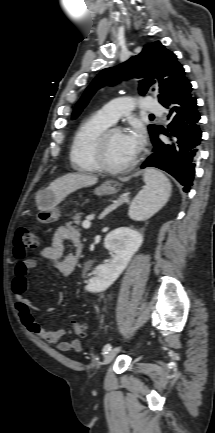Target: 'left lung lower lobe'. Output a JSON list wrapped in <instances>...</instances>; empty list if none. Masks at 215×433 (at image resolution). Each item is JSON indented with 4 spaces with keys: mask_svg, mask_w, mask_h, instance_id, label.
Segmentation results:
<instances>
[{
    "mask_svg": "<svg viewBox=\"0 0 215 433\" xmlns=\"http://www.w3.org/2000/svg\"><path fill=\"white\" fill-rule=\"evenodd\" d=\"M169 109L168 131L158 129L151 141L154 153L147 158L141 168L156 167L175 177L185 192L192 186L196 163L199 157L202 131L197 101L192 94V86L183 78L161 103ZM165 134L168 141L158 135Z\"/></svg>",
    "mask_w": 215,
    "mask_h": 433,
    "instance_id": "obj_1",
    "label": "left lung lower lobe"
}]
</instances>
